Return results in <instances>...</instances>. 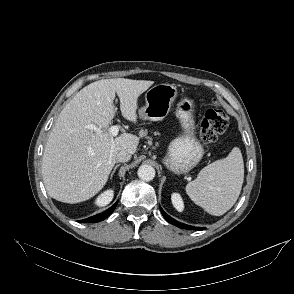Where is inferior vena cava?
<instances>
[{"label":"inferior vena cava","mask_w":294,"mask_h":294,"mask_svg":"<svg viewBox=\"0 0 294 294\" xmlns=\"http://www.w3.org/2000/svg\"><path fill=\"white\" fill-rule=\"evenodd\" d=\"M115 159L117 162H127L131 159V154L126 151H120L116 156Z\"/></svg>","instance_id":"inferior-vena-cava-1"}]
</instances>
